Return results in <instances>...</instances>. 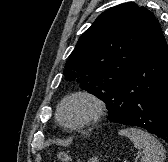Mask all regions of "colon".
I'll return each mask as SVG.
<instances>
[{
	"instance_id": "colon-1",
	"label": "colon",
	"mask_w": 168,
	"mask_h": 162,
	"mask_svg": "<svg viewBox=\"0 0 168 162\" xmlns=\"http://www.w3.org/2000/svg\"><path fill=\"white\" fill-rule=\"evenodd\" d=\"M57 160L61 161V162H70L71 157L63 152H60L56 155Z\"/></svg>"
}]
</instances>
